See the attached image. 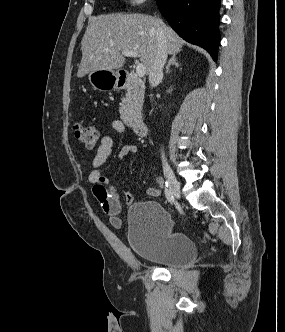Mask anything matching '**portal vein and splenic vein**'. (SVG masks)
Returning <instances> with one entry per match:
<instances>
[{"instance_id": "portal-vein-and-splenic-vein-1", "label": "portal vein and splenic vein", "mask_w": 285, "mask_h": 332, "mask_svg": "<svg viewBox=\"0 0 285 332\" xmlns=\"http://www.w3.org/2000/svg\"><path fill=\"white\" fill-rule=\"evenodd\" d=\"M108 51L109 49L106 48ZM122 55L126 57H138V53L136 51H122ZM136 74L138 77H143L145 75V66L142 63H138L136 66Z\"/></svg>"}]
</instances>
